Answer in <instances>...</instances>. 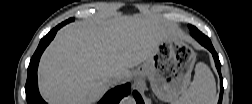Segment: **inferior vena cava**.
I'll use <instances>...</instances> for the list:
<instances>
[{
  "label": "inferior vena cava",
  "mask_w": 252,
  "mask_h": 104,
  "mask_svg": "<svg viewBox=\"0 0 252 104\" xmlns=\"http://www.w3.org/2000/svg\"><path fill=\"white\" fill-rule=\"evenodd\" d=\"M109 79L113 84H116L122 79V76L120 74H111L109 76Z\"/></svg>",
  "instance_id": "602c4592"
}]
</instances>
